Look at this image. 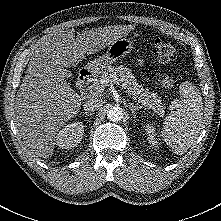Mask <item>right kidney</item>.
<instances>
[{
	"label": "right kidney",
	"instance_id": "ca27d5eb",
	"mask_svg": "<svg viewBox=\"0 0 221 221\" xmlns=\"http://www.w3.org/2000/svg\"><path fill=\"white\" fill-rule=\"evenodd\" d=\"M84 126L82 122L76 121L66 125L57 133L56 142L61 149L76 147L83 138Z\"/></svg>",
	"mask_w": 221,
	"mask_h": 221
}]
</instances>
